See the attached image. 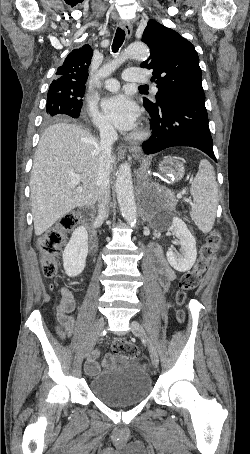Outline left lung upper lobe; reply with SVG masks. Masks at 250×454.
Listing matches in <instances>:
<instances>
[{
	"label": "left lung upper lobe",
	"instance_id": "5c2ea615",
	"mask_svg": "<svg viewBox=\"0 0 250 454\" xmlns=\"http://www.w3.org/2000/svg\"><path fill=\"white\" fill-rule=\"evenodd\" d=\"M142 41L150 48V57L141 63L157 80L156 102L144 98L146 109H157L166 102L205 100L202 72L194 46L176 31L149 20Z\"/></svg>",
	"mask_w": 250,
	"mask_h": 454
}]
</instances>
